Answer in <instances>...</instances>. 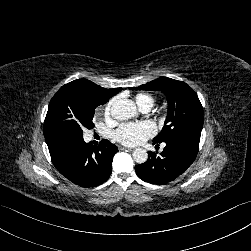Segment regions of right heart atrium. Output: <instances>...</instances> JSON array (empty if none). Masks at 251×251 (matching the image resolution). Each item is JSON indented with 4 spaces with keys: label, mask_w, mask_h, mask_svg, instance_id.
Returning <instances> with one entry per match:
<instances>
[{
    "label": "right heart atrium",
    "mask_w": 251,
    "mask_h": 251,
    "mask_svg": "<svg viewBox=\"0 0 251 251\" xmlns=\"http://www.w3.org/2000/svg\"><path fill=\"white\" fill-rule=\"evenodd\" d=\"M116 99L112 98L108 102H106L104 105H102L98 111L106 118L109 119L111 117V111L112 107L115 103Z\"/></svg>",
    "instance_id": "d8ad5b80"
}]
</instances>
